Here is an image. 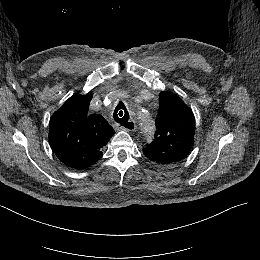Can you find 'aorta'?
Instances as JSON below:
<instances>
[{"instance_id":"1","label":"aorta","mask_w":260,"mask_h":260,"mask_svg":"<svg viewBox=\"0 0 260 260\" xmlns=\"http://www.w3.org/2000/svg\"><path fill=\"white\" fill-rule=\"evenodd\" d=\"M140 125L145 135L151 136L155 130V124L145 113L139 114Z\"/></svg>"}]
</instances>
